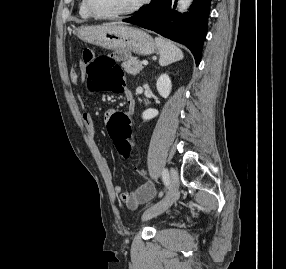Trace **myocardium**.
Wrapping results in <instances>:
<instances>
[{
	"instance_id": "obj_1",
	"label": "myocardium",
	"mask_w": 286,
	"mask_h": 269,
	"mask_svg": "<svg viewBox=\"0 0 286 269\" xmlns=\"http://www.w3.org/2000/svg\"><path fill=\"white\" fill-rule=\"evenodd\" d=\"M150 1L151 0H139L133 7L127 10L117 12L114 14H108V15L99 14L96 11H94V9L91 6V0H84V3H85V8L87 12L90 14V16L97 18V19L111 20V19H118V18H122V17L135 14L141 11L147 4H149Z\"/></svg>"
}]
</instances>
